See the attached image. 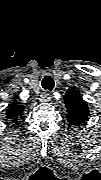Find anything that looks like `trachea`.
I'll list each match as a JSON object with an SVG mask.
<instances>
[{
	"label": "trachea",
	"instance_id": "trachea-1",
	"mask_svg": "<svg viewBox=\"0 0 101 180\" xmlns=\"http://www.w3.org/2000/svg\"><path fill=\"white\" fill-rule=\"evenodd\" d=\"M41 85L45 90L51 91L55 85V82L51 76H45L42 79Z\"/></svg>",
	"mask_w": 101,
	"mask_h": 180
}]
</instances>
